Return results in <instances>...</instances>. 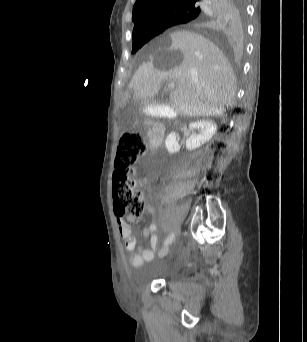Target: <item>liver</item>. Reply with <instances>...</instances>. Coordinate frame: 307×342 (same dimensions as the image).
Instances as JSON below:
<instances>
[{"label":"liver","mask_w":307,"mask_h":342,"mask_svg":"<svg viewBox=\"0 0 307 342\" xmlns=\"http://www.w3.org/2000/svg\"><path fill=\"white\" fill-rule=\"evenodd\" d=\"M169 38L151 50V56H145L136 70L129 84L133 98H154L163 80H173L177 86L169 98L179 116H225L224 106H232L236 86L234 72L221 50L195 32L180 30ZM129 98L131 94L125 92L123 102Z\"/></svg>","instance_id":"obj_1"}]
</instances>
